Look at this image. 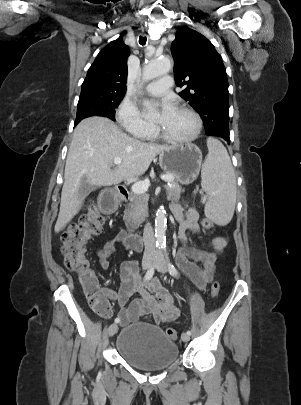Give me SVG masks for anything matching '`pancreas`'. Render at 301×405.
Wrapping results in <instances>:
<instances>
[{"instance_id": "pancreas-1", "label": "pancreas", "mask_w": 301, "mask_h": 405, "mask_svg": "<svg viewBox=\"0 0 301 405\" xmlns=\"http://www.w3.org/2000/svg\"><path fill=\"white\" fill-rule=\"evenodd\" d=\"M173 177L172 187H166L167 199L170 201L177 202L180 200V194L182 192L181 187L174 180L175 176L170 174ZM149 196L146 193L136 194L131 192L129 195V204L127 205L124 211V220L125 224L129 229L137 228L143 221L146 216V210L148 206Z\"/></svg>"}]
</instances>
